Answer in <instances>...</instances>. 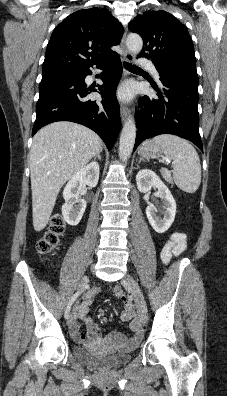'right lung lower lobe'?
Returning a JSON list of instances; mask_svg holds the SVG:
<instances>
[{"instance_id": "right-lung-lower-lobe-1", "label": "right lung lower lobe", "mask_w": 227, "mask_h": 396, "mask_svg": "<svg viewBox=\"0 0 227 396\" xmlns=\"http://www.w3.org/2000/svg\"><path fill=\"white\" fill-rule=\"evenodd\" d=\"M96 65L104 70L103 85H98L104 98L100 103L86 99L90 91L84 79L92 73L89 69L92 65L42 76L32 135L49 123L71 121L95 131L111 150L120 130V108L115 93L122 66L118 54Z\"/></svg>"}]
</instances>
